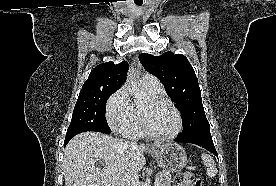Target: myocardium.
<instances>
[{
  "label": "myocardium",
  "instance_id": "f54148a6",
  "mask_svg": "<svg viewBox=\"0 0 276 186\" xmlns=\"http://www.w3.org/2000/svg\"><path fill=\"white\" fill-rule=\"evenodd\" d=\"M150 102L153 105H167L170 108H172L173 111L177 115L178 126H177V129L172 134H169V135L156 134L150 128V126L148 124L147 117H146V113L144 110H142L141 111V123H142V127H143L145 134L155 140L168 141V140L175 139L181 133V131L183 129V117H182L180 110L170 100L163 98V97H153Z\"/></svg>",
  "mask_w": 276,
  "mask_h": 186
}]
</instances>
